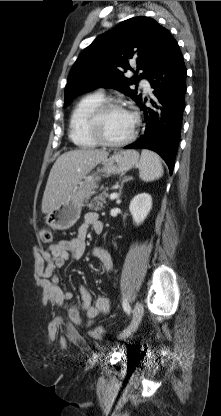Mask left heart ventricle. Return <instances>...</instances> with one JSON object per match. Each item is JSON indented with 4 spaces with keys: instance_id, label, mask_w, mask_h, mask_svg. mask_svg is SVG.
Instances as JSON below:
<instances>
[{
    "instance_id": "1",
    "label": "left heart ventricle",
    "mask_w": 221,
    "mask_h": 416,
    "mask_svg": "<svg viewBox=\"0 0 221 416\" xmlns=\"http://www.w3.org/2000/svg\"><path fill=\"white\" fill-rule=\"evenodd\" d=\"M133 124L132 115L121 108L107 110L101 122V128L107 139L121 141L131 132Z\"/></svg>"
}]
</instances>
